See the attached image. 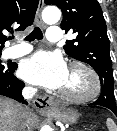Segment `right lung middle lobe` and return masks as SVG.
Listing matches in <instances>:
<instances>
[{"instance_id":"right-lung-middle-lobe-1","label":"right lung middle lobe","mask_w":117,"mask_h":131,"mask_svg":"<svg viewBox=\"0 0 117 131\" xmlns=\"http://www.w3.org/2000/svg\"><path fill=\"white\" fill-rule=\"evenodd\" d=\"M1 55V52H0ZM5 65L1 64V60H0V69L4 68Z\"/></svg>"}]
</instances>
